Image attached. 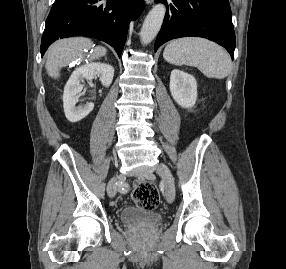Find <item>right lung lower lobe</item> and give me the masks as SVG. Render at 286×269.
<instances>
[{
    "label": "right lung lower lobe",
    "mask_w": 286,
    "mask_h": 269,
    "mask_svg": "<svg viewBox=\"0 0 286 269\" xmlns=\"http://www.w3.org/2000/svg\"><path fill=\"white\" fill-rule=\"evenodd\" d=\"M55 0L41 39V56L51 43L68 36H88L114 47L120 56L130 20L144 8V0Z\"/></svg>",
    "instance_id": "obj_1"
}]
</instances>
